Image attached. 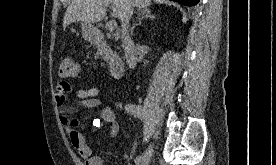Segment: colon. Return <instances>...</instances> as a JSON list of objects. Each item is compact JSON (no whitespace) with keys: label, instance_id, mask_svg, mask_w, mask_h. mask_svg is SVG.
<instances>
[{"label":"colon","instance_id":"5ec220e1","mask_svg":"<svg viewBox=\"0 0 276 165\" xmlns=\"http://www.w3.org/2000/svg\"><path fill=\"white\" fill-rule=\"evenodd\" d=\"M79 74V64L72 56H64L59 64V75L62 78H74Z\"/></svg>","mask_w":276,"mask_h":165}]
</instances>
